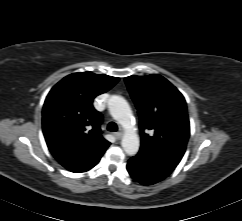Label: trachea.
Masks as SVG:
<instances>
[{
	"label": "trachea",
	"instance_id": "3493384b",
	"mask_svg": "<svg viewBox=\"0 0 242 221\" xmlns=\"http://www.w3.org/2000/svg\"><path fill=\"white\" fill-rule=\"evenodd\" d=\"M107 130L110 132H116L118 130L117 124L114 122H110L107 126Z\"/></svg>",
	"mask_w": 242,
	"mask_h": 221
}]
</instances>
